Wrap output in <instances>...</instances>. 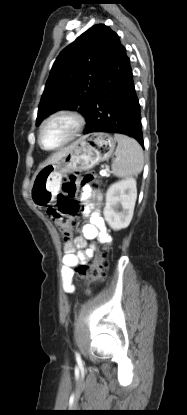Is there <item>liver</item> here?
<instances>
[{
  "mask_svg": "<svg viewBox=\"0 0 187 415\" xmlns=\"http://www.w3.org/2000/svg\"><path fill=\"white\" fill-rule=\"evenodd\" d=\"M69 149H70V146H69V147H66V148H64V149H62V150H60V151H58V152H56V153H54V154L50 157V159H48V160L45 162V164H44V165H46V164H51V163H56L57 161H59L60 159H62V157H63V156H65V154L69 151Z\"/></svg>",
  "mask_w": 187,
  "mask_h": 415,
  "instance_id": "liver-1",
  "label": "liver"
}]
</instances>
